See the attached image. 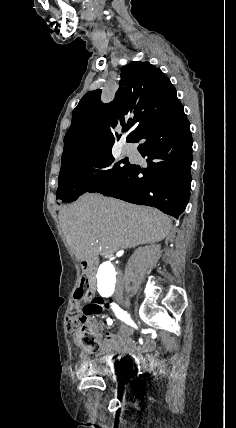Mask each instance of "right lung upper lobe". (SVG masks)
<instances>
[{
	"mask_svg": "<svg viewBox=\"0 0 236 428\" xmlns=\"http://www.w3.org/2000/svg\"><path fill=\"white\" fill-rule=\"evenodd\" d=\"M114 101L103 104L101 90L85 94L73 110L72 123L64 137L61 170L97 153L120 139L115 127L135 129L132 141L150 123L164 118L181 105L176 90L164 73L149 62H131L121 70Z\"/></svg>",
	"mask_w": 236,
	"mask_h": 428,
	"instance_id": "obj_1",
	"label": "right lung upper lobe"
}]
</instances>
